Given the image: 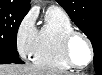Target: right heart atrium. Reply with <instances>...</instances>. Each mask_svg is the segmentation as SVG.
Instances as JSON below:
<instances>
[{
    "label": "right heart atrium",
    "mask_w": 102,
    "mask_h": 75,
    "mask_svg": "<svg viewBox=\"0 0 102 75\" xmlns=\"http://www.w3.org/2000/svg\"><path fill=\"white\" fill-rule=\"evenodd\" d=\"M37 27L33 12L27 13L17 26L15 39L19 53L29 58L35 49Z\"/></svg>",
    "instance_id": "right-heart-atrium-1"
}]
</instances>
